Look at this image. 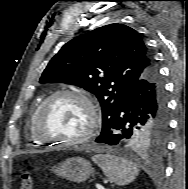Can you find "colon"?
Wrapping results in <instances>:
<instances>
[{
    "label": "colon",
    "mask_w": 188,
    "mask_h": 189,
    "mask_svg": "<svg viewBox=\"0 0 188 189\" xmlns=\"http://www.w3.org/2000/svg\"><path fill=\"white\" fill-rule=\"evenodd\" d=\"M33 180L28 170L23 169L20 175L19 189H32Z\"/></svg>",
    "instance_id": "1"
}]
</instances>
